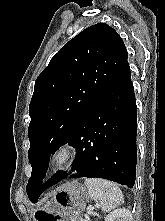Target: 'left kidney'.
Segmentation results:
<instances>
[{"label":"left kidney","instance_id":"left-kidney-1","mask_svg":"<svg viewBox=\"0 0 165 221\" xmlns=\"http://www.w3.org/2000/svg\"><path fill=\"white\" fill-rule=\"evenodd\" d=\"M105 221H133V217L130 210L120 208L108 214Z\"/></svg>","mask_w":165,"mask_h":221}]
</instances>
